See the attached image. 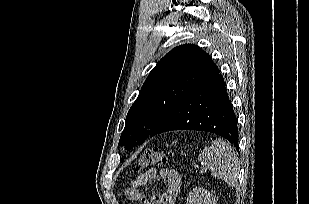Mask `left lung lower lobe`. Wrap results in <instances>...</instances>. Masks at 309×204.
I'll return each mask as SVG.
<instances>
[{
  "mask_svg": "<svg viewBox=\"0 0 309 204\" xmlns=\"http://www.w3.org/2000/svg\"><path fill=\"white\" fill-rule=\"evenodd\" d=\"M172 130L212 132L238 150L237 118L220 72L174 104L147 138Z\"/></svg>",
  "mask_w": 309,
  "mask_h": 204,
  "instance_id": "0a47b994",
  "label": "left lung lower lobe"
}]
</instances>
